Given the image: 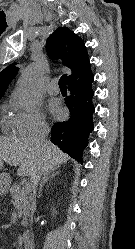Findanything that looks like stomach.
<instances>
[{
  "label": "stomach",
  "mask_w": 135,
  "mask_h": 249,
  "mask_svg": "<svg viewBox=\"0 0 135 249\" xmlns=\"http://www.w3.org/2000/svg\"><path fill=\"white\" fill-rule=\"evenodd\" d=\"M3 167V163H2V161H0V169ZM1 182V181H0ZM0 188H1V186H0Z\"/></svg>",
  "instance_id": "obj_1"
}]
</instances>
